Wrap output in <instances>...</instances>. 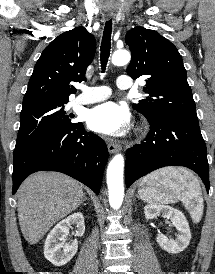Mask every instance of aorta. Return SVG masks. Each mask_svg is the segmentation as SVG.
Wrapping results in <instances>:
<instances>
[{"label":"aorta","mask_w":215,"mask_h":274,"mask_svg":"<svg viewBox=\"0 0 215 274\" xmlns=\"http://www.w3.org/2000/svg\"><path fill=\"white\" fill-rule=\"evenodd\" d=\"M131 59L127 50H117L112 55V63L116 66H123ZM124 158L117 154L110 161L107 169V186L109 203L113 209L121 207L124 198L123 185Z\"/></svg>","instance_id":"1"}]
</instances>
